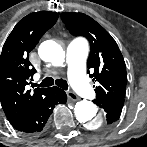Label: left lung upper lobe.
<instances>
[{
    "label": "left lung upper lobe",
    "instance_id": "obj_1",
    "mask_svg": "<svg viewBox=\"0 0 147 147\" xmlns=\"http://www.w3.org/2000/svg\"><path fill=\"white\" fill-rule=\"evenodd\" d=\"M62 21L74 36L88 39L91 51L87 61L88 73L96 86L95 104L124 99L127 73L123 56L112 36L95 20L83 13L64 12Z\"/></svg>",
    "mask_w": 147,
    "mask_h": 147
}]
</instances>
